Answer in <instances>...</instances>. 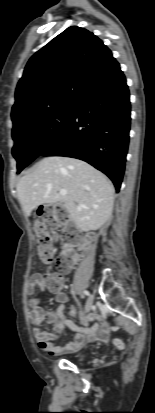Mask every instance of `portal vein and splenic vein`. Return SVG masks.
<instances>
[{
    "label": "portal vein and splenic vein",
    "mask_w": 155,
    "mask_h": 413,
    "mask_svg": "<svg viewBox=\"0 0 155 413\" xmlns=\"http://www.w3.org/2000/svg\"><path fill=\"white\" fill-rule=\"evenodd\" d=\"M60 195L65 196L67 194V190L66 189H62L60 190Z\"/></svg>",
    "instance_id": "18ae733b"
}]
</instances>
